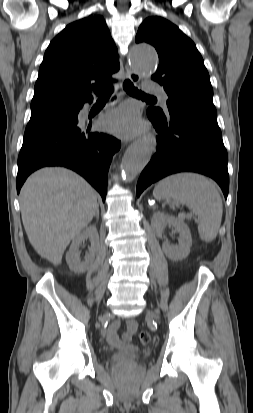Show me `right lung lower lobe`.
Wrapping results in <instances>:
<instances>
[{"mask_svg":"<svg viewBox=\"0 0 253 413\" xmlns=\"http://www.w3.org/2000/svg\"><path fill=\"white\" fill-rule=\"evenodd\" d=\"M90 128L91 124H76L23 140L18 157L17 193L35 170L64 166L82 175L105 201L108 169L120 142L105 133H90Z\"/></svg>","mask_w":253,"mask_h":413,"instance_id":"98d812e1","label":"right lung lower lobe"}]
</instances>
